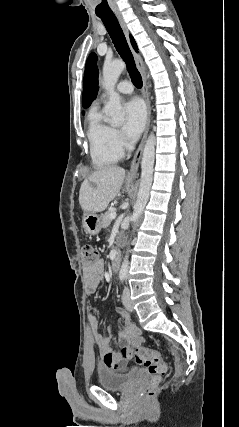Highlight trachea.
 <instances>
[{"label": "trachea", "mask_w": 239, "mask_h": 427, "mask_svg": "<svg viewBox=\"0 0 239 427\" xmlns=\"http://www.w3.org/2000/svg\"><path fill=\"white\" fill-rule=\"evenodd\" d=\"M103 24L105 25L112 42L121 56L125 61L128 73L132 79L133 84L137 88L142 87V77L136 68L133 55L129 49L124 33L119 25V22L114 14L99 16Z\"/></svg>", "instance_id": "3493384b"}]
</instances>
